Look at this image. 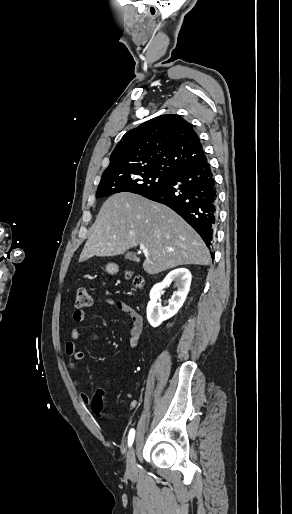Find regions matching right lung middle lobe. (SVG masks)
Wrapping results in <instances>:
<instances>
[{
	"label": "right lung middle lobe",
	"instance_id": "1",
	"mask_svg": "<svg viewBox=\"0 0 292 514\" xmlns=\"http://www.w3.org/2000/svg\"><path fill=\"white\" fill-rule=\"evenodd\" d=\"M170 177L171 174L164 172H145L102 179L96 197H105L119 192L144 195L164 184Z\"/></svg>",
	"mask_w": 292,
	"mask_h": 514
}]
</instances>
